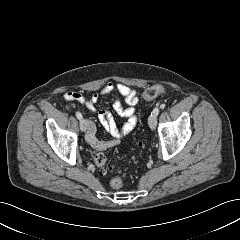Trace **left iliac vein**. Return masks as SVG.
<instances>
[{
    "label": "left iliac vein",
    "mask_w": 240,
    "mask_h": 240,
    "mask_svg": "<svg viewBox=\"0 0 240 240\" xmlns=\"http://www.w3.org/2000/svg\"><path fill=\"white\" fill-rule=\"evenodd\" d=\"M148 125L151 129H154L157 125V118L156 116H149L148 118Z\"/></svg>",
    "instance_id": "obj_1"
}]
</instances>
